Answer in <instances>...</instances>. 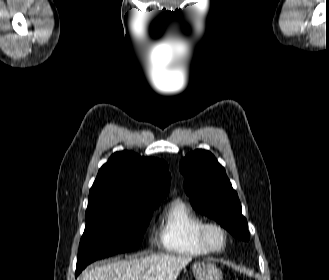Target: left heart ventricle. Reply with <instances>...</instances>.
<instances>
[{"label": "left heart ventricle", "instance_id": "obj_1", "mask_svg": "<svg viewBox=\"0 0 329 280\" xmlns=\"http://www.w3.org/2000/svg\"><path fill=\"white\" fill-rule=\"evenodd\" d=\"M210 240L215 246H220L222 244V235L218 231L213 230L210 232Z\"/></svg>", "mask_w": 329, "mask_h": 280}]
</instances>
